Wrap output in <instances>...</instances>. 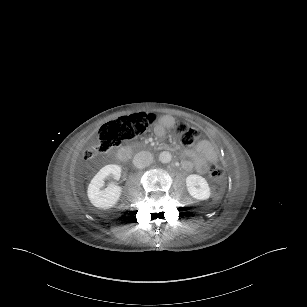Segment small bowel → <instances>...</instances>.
Here are the masks:
<instances>
[{
    "label": "small bowel",
    "mask_w": 307,
    "mask_h": 307,
    "mask_svg": "<svg viewBox=\"0 0 307 307\" xmlns=\"http://www.w3.org/2000/svg\"><path fill=\"white\" fill-rule=\"evenodd\" d=\"M184 154L191 160H184L182 162L183 168L187 171L196 169L200 173H205L209 164L216 162L218 159L216 149L207 140L199 141L194 148L185 150Z\"/></svg>",
    "instance_id": "small-bowel-1"
}]
</instances>
